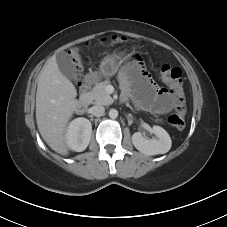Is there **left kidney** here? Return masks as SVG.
Listing matches in <instances>:
<instances>
[{
  "label": "left kidney",
  "mask_w": 227,
  "mask_h": 227,
  "mask_svg": "<svg viewBox=\"0 0 227 227\" xmlns=\"http://www.w3.org/2000/svg\"><path fill=\"white\" fill-rule=\"evenodd\" d=\"M152 131L157 137L156 139H148L140 132L134 133L132 135L134 147L146 155H157L168 152L171 148L172 141L167 131L160 126H153Z\"/></svg>",
  "instance_id": "5707ae66"
}]
</instances>
